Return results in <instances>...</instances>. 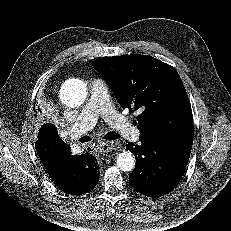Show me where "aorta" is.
I'll use <instances>...</instances> for the list:
<instances>
[{
    "label": "aorta",
    "mask_w": 231,
    "mask_h": 231,
    "mask_svg": "<svg viewBox=\"0 0 231 231\" xmlns=\"http://www.w3.org/2000/svg\"><path fill=\"white\" fill-rule=\"evenodd\" d=\"M87 97V87L79 79H70L63 83L60 90V99L70 108L79 107ZM117 166L122 171H132L135 167V158L130 151H124L117 156Z\"/></svg>",
    "instance_id": "obj_1"
}]
</instances>
